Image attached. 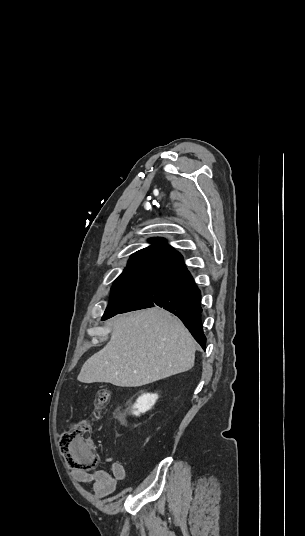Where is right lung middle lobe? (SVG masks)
<instances>
[{"label":"right lung middle lobe","mask_w":305,"mask_h":536,"mask_svg":"<svg viewBox=\"0 0 305 536\" xmlns=\"http://www.w3.org/2000/svg\"><path fill=\"white\" fill-rule=\"evenodd\" d=\"M164 278L158 276L118 277L111 287L110 302L103 317L116 314L146 294Z\"/></svg>","instance_id":"right-lung-middle-lobe-1"}]
</instances>
